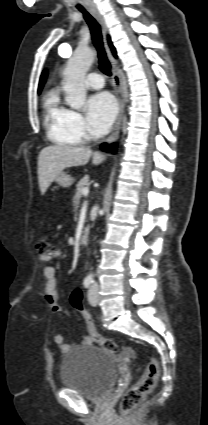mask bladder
I'll list each match as a JSON object with an SVG mask.
<instances>
[{"instance_id":"bladder-1","label":"bladder","mask_w":208,"mask_h":425,"mask_svg":"<svg viewBox=\"0 0 208 425\" xmlns=\"http://www.w3.org/2000/svg\"><path fill=\"white\" fill-rule=\"evenodd\" d=\"M117 380L118 370L112 354L98 347H79L63 357L62 384L87 400H102Z\"/></svg>"}]
</instances>
